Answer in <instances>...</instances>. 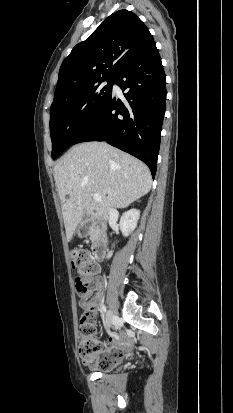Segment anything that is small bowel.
I'll return each instance as SVG.
<instances>
[{"label": "small bowel", "mask_w": 233, "mask_h": 413, "mask_svg": "<svg viewBox=\"0 0 233 413\" xmlns=\"http://www.w3.org/2000/svg\"><path fill=\"white\" fill-rule=\"evenodd\" d=\"M95 294L90 298L91 292L85 296H82L79 300V305L83 310L92 311L97 313L102 306V299L104 296V284L101 281L96 282ZM108 346L100 344V356L105 357L108 355L120 354L121 358L130 347V341L121 334H110Z\"/></svg>", "instance_id": "1"}]
</instances>
